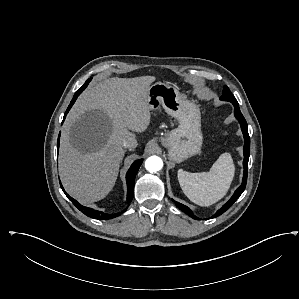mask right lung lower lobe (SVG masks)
I'll return each instance as SVG.
<instances>
[{
    "label": "right lung lower lobe",
    "mask_w": 299,
    "mask_h": 299,
    "mask_svg": "<svg viewBox=\"0 0 299 299\" xmlns=\"http://www.w3.org/2000/svg\"><path fill=\"white\" fill-rule=\"evenodd\" d=\"M82 91H77L72 99V101L70 102V105L68 106L65 114H64V118L63 121L67 115V113L69 112V110L71 109L72 105L74 104V102L76 101L77 97L80 95ZM59 140H60V134L58 137V141H57V149H59ZM142 159L135 161L130 169L128 170L127 174H126V181H127V202L131 201L133 198V189H134V181H135V176L136 173L142 163ZM61 185V184H60ZM61 188L63 190V192L66 194V196L72 201V203L81 211L83 212L85 215L94 218V219H112L115 218L119 215H121L123 212L120 213H115V214H107L104 213L102 211H97V210H93L91 208L88 207H84L82 206L80 203H78L76 200H74L73 198H71L64 190L63 186L61 185Z\"/></svg>",
    "instance_id": "1"
}]
</instances>
